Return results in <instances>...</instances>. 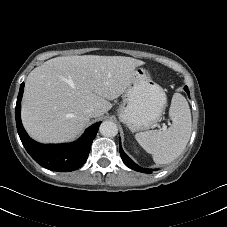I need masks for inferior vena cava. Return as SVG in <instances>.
I'll return each instance as SVG.
<instances>
[{
	"label": "inferior vena cava",
	"instance_id": "obj_1",
	"mask_svg": "<svg viewBox=\"0 0 227 227\" xmlns=\"http://www.w3.org/2000/svg\"><path fill=\"white\" fill-rule=\"evenodd\" d=\"M86 115H88L89 117H95L97 115V111L94 107H88L85 110Z\"/></svg>",
	"mask_w": 227,
	"mask_h": 227
}]
</instances>
